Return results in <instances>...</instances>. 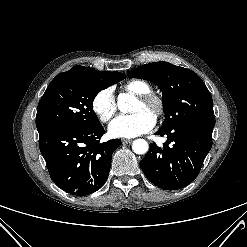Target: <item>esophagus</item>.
Returning <instances> with one entry per match:
<instances>
[{
	"label": "esophagus",
	"mask_w": 247,
	"mask_h": 247,
	"mask_svg": "<svg viewBox=\"0 0 247 247\" xmlns=\"http://www.w3.org/2000/svg\"><path fill=\"white\" fill-rule=\"evenodd\" d=\"M132 140L131 139H122V143L123 144H128V143H131Z\"/></svg>",
	"instance_id": "34e87169"
}]
</instances>
